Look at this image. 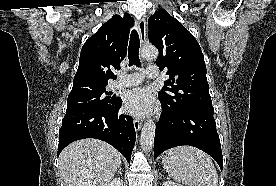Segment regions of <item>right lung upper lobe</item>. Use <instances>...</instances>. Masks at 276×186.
<instances>
[{
	"label": "right lung upper lobe",
	"instance_id": "right-lung-upper-lobe-1",
	"mask_svg": "<svg viewBox=\"0 0 276 186\" xmlns=\"http://www.w3.org/2000/svg\"><path fill=\"white\" fill-rule=\"evenodd\" d=\"M133 18L114 15L83 45L73 88L84 85H107L116 79L113 71L120 68L127 50Z\"/></svg>",
	"mask_w": 276,
	"mask_h": 186
}]
</instances>
